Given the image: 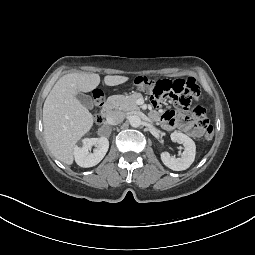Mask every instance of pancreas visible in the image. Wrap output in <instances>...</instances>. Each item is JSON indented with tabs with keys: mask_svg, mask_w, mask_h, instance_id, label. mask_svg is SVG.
I'll use <instances>...</instances> for the list:
<instances>
[{
	"mask_svg": "<svg viewBox=\"0 0 255 255\" xmlns=\"http://www.w3.org/2000/svg\"><path fill=\"white\" fill-rule=\"evenodd\" d=\"M139 98H142L140 93H133L130 95H113L109 97L108 101L115 109L131 112L139 110V107L136 104V101Z\"/></svg>",
	"mask_w": 255,
	"mask_h": 255,
	"instance_id": "1",
	"label": "pancreas"
}]
</instances>
